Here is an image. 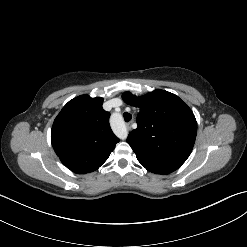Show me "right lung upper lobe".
Here are the masks:
<instances>
[{
    "mask_svg": "<svg viewBox=\"0 0 247 247\" xmlns=\"http://www.w3.org/2000/svg\"><path fill=\"white\" fill-rule=\"evenodd\" d=\"M102 104L103 98L81 95L69 101L54 120L52 146L74 173L97 170L119 142L109 125L110 113Z\"/></svg>",
    "mask_w": 247,
    "mask_h": 247,
    "instance_id": "1",
    "label": "right lung upper lobe"
}]
</instances>
